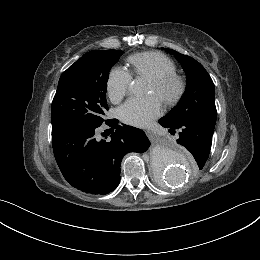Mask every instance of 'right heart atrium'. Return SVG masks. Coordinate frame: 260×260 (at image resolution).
Wrapping results in <instances>:
<instances>
[{
	"label": "right heart atrium",
	"instance_id": "d8ad5b80",
	"mask_svg": "<svg viewBox=\"0 0 260 260\" xmlns=\"http://www.w3.org/2000/svg\"><path fill=\"white\" fill-rule=\"evenodd\" d=\"M131 73L126 69L114 66L109 73L107 80V94L109 99L117 103L126 95L131 83Z\"/></svg>",
	"mask_w": 260,
	"mask_h": 260
}]
</instances>
